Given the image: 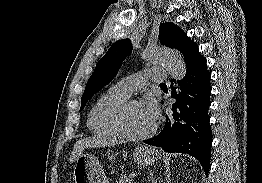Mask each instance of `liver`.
<instances>
[{"label": "liver", "mask_w": 262, "mask_h": 183, "mask_svg": "<svg viewBox=\"0 0 262 183\" xmlns=\"http://www.w3.org/2000/svg\"><path fill=\"white\" fill-rule=\"evenodd\" d=\"M123 143L121 140L107 137H88L82 138L76 142L70 155V163L75 162L86 148L105 147Z\"/></svg>", "instance_id": "6515ba94"}]
</instances>
